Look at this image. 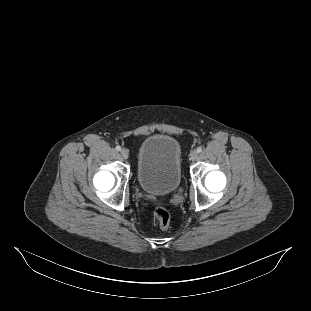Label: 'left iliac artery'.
<instances>
[{"mask_svg":"<svg viewBox=\"0 0 311 311\" xmlns=\"http://www.w3.org/2000/svg\"><path fill=\"white\" fill-rule=\"evenodd\" d=\"M201 151H202V148H201V147H198V148H197V152L200 153Z\"/></svg>","mask_w":311,"mask_h":311,"instance_id":"obj_1","label":"left iliac artery"}]
</instances>
